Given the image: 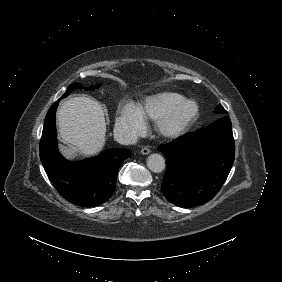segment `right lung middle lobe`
<instances>
[{"label": "right lung middle lobe", "mask_w": 282, "mask_h": 282, "mask_svg": "<svg viewBox=\"0 0 282 282\" xmlns=\"http://www.w3.org/2000/svg\"><path fill=\"white\" fill-rule=\"evenodd\" d=\"M99 87H100V84H98V85H96V86H92V87L88 88V90H93V89L99 88ZM78 88H79V89H82L83 86H82L81 84H79V83L71 84V85L68 87L67 91L64 93L63 97H66L67 95H69V93H70L71 91H73L74 89H78Z\"/></svg>", "instance_id": "obj_1"}]
</instances>
